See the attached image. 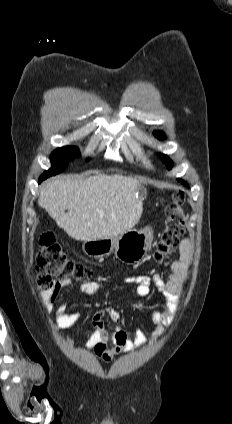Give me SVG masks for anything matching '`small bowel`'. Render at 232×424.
<instances>
[{"mask_svg": "<svg viewBox=\"0 0 232 424\" xmlns=\"http://www.w3.org/2000/svg\"><path fill=\"white\" fill-rule=\"evenodd\" d=\"M179 259L170 266V271L166 278L159 274L153 276L139 274L130 275L126 282L136 285V292L141 297L151 294V286L155 285L158 291L165 298V308L150 309L147 312L149 320L157 325L152 333L153 339H157L164 332L165 326L171 323L175 312L178 309L180 295L188 277V269L193 260V247L189 239L185 238L179 245ZM71 284L70 280L56 282L53 288V296L58 297L61 292ZM79 290L91 297L98 296L103 290V285L99 282L89 281L82 283ZM56 325L60 328L74 326L80 319V313L67 312L66 300H62L56 311ZM109 316L114 324L120 321V313L113 307H106L97 310L91 320L93 331L91 332L86 346L103 360L110 361L116 355L138 349L146 344L147 337L142 329H136L134 338L131 339L128 332L116 325L111 333L105 329L104 317Z\"/></svg>", "mask_w": 232, "mask_h": 424, "instance_id": "obj_1", "label": "small bowel"}]
</instances>
